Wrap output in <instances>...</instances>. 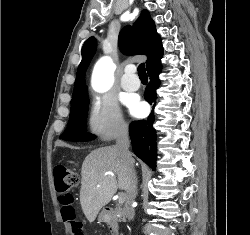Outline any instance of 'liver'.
<instances>
[{
	"instance_id": "obj_1",
	"label": "liver",
	"mask_w": 250,
	"mask_h": 235,
	"mask_svg": "<svg viewBox=\"0 0 250 235\" xmlns=\"http://www.w3.org/2000/svg\"><path fill=\"white\" fill-rule=\"evenodd\" d=\"M80 204L89 222L96 219L118 189H128L129 172L115 147L93 150L83 161Z\"/></svg>"
}]
</instances>
